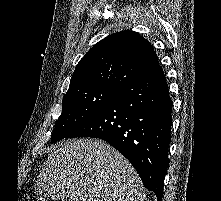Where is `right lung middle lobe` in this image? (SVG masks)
Masks as SVG:
<instances>
[{"label": "right lung middle lobe", "mask_w": 221, "mask_h": 201, "mask_svg": "<svg viewBox=\"0 0 221 201\" xmlns=\"http://www.w3.org/2000/svg\"><path fill=\"white\" fill-rule=\"evenodd\" d=\"M119 90L109 87H88L67 92L62 101L51 142L67 136L103 108Z\"/></svg>", "instance_id": "obj_1"}]
</instances>
